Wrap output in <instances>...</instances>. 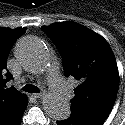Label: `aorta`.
Wrapping results in <instances>:
<instances>
[{
    "label": "aorta",
    "mask_w": 125,
    "mask_h": 125,
    "mask_svg": "<svg viewBox=\"0 0 125 125\" xmlns=\"http://www.w3.org/2000/svg\"><path fill=\"white\" fill-rule=\"evenodd\" d=\"M16 56L25 69L36 74L45 70L49 58L46 44L35 36L18 42ZM42 104L47 115L55 120L67 119L70 115V105L61 95L48 93L43 97Z\"/></svg>",
    "instance_id": "obj_1"
}]
</instances>
